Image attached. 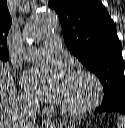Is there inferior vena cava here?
I'll list each match as a JSON object with an SVG mask.
<instances>
[{
  "label": "inferior vena cava",
  "instance_id": "inferior-vena-cava-1",
  "mask_svg": "<svg viewBox=\"0 0 125 128\" xmlns=\"http://www.w3.org/2000/svg\"><path fill=\"white\" fill-rule=\"evenodd\" d=\"M40 106L37 102L28 101L21 109L20 116L23 120L21 128H31L35 121ZM24 125V126H23Z\"/></svg>",
  "mask_w": 125,
  "mask_h": 128
}]
</instances>
